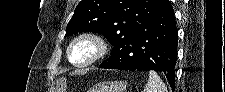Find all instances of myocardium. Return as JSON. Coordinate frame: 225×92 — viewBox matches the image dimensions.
Segmentation results:
<instances>
[{
	"instance_id": "1",
	"label": "myocardium",
	"mask_w": 225,
	"mask_h": 92,
	"mask_svg": "<svg viewBox=\"0 0 225 92\" xmlns=\"http://www.w3.org/2000/svg\"><path fill=\"white\" fill-rule=\"evenodd\" d=\"M87 41L91 43L95 47L94 54L86 61L83 62H76L72 58V49L73 47L81 42ZM108 49V44L105 38L97 33L94 32H84L77 35L67 47V59L71 65L77 68H83L90 66L100 60L106 53Z\"/></svg>"
}]
</instances>
